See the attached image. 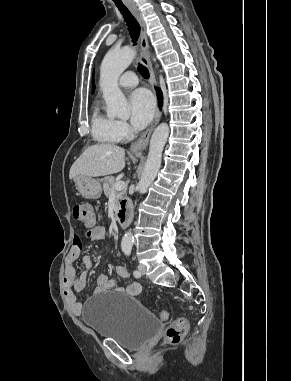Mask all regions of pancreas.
Wrapping results in <instances>:
<instances>
[{
	"label": "pancreas",
	"instance_id": "pancreas-1",
	"mask_svg": "<svg viewBox=\"0 0 291 381\" xmlns=\"http://www.w3.org/2000/svg\"><path fill=\"white\" fill-rule=\"evenodd\" d=\"M101 181L103 182V190H104V194L107 198H109L113 193H115V195H116V201L117 202L123 198V196L125 194L124 189L121 191H115L114 190V185L116 183V180L114 177L108 176V177L101 179Z\"/></svg>",
	"mask_w": 291,
	"mask_h": 381
}]
</instances>
